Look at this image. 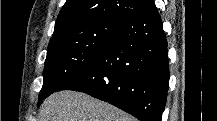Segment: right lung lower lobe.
<instances>
[{
	"instance_id": "1",
	"label": "right lung lower lobe",
	"mask_w": 217,
	"mask_h": 121,
	"mask_svg": "<svg viewBox=\"0 0 217 121\" xmlns=\"http://www.w3.org/2000/svg\"><path fill=\"white\" fill-rule=\"evenodd\" d=\"M168 84L167 40L152 2L127 20L100 55L57 91L84 92L140 121H161Z\"/></svg>"
}]
</instances>
